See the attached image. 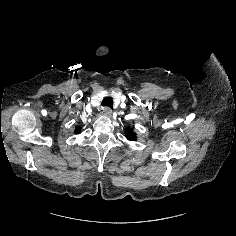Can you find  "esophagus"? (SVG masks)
<instances>
[{
  "label": "esophagus",
  "mask_w": 236,
  "mask_h": 236,
  "mask_svg": "<svg viewBox=\"0 0 236 236\" xmlns=\"http://www.w3.org/2000/svg\"><path fill=\"white\" fill-rule=\"evenodd\" d=\"M103 114H104L105 116H111V115H112V110H111V108L105 107V108L103 109Z\"/></svg>",
  "instance_id": "esophagus-1"
}]
</instances>
